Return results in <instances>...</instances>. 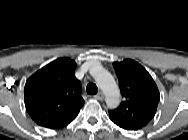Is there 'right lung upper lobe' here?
<instances>
[{
  "label": "right lung upper lobe",
  "mask_w": 188,
  "mask_h": 140,
  "mask_svg": "<svg viewBox=\"0 0 188 140\" xmlns=\"http://www.w3.org/2000/svg\"><path fill=\"white\" fill-rule=\"evenodd\" d=\"M74 69V61L60 58L43 67L27 82L26 108L38 125L59 128L78 115L84 100Z\"/></svg>",
  "instance_id": "obj_1"
}]
</instances>
